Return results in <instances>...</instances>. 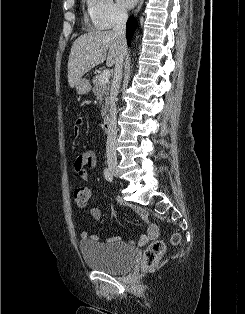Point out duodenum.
I'll return each mask as SVG.
<instances>
[{
	"instance_id": "duodenum-1",
	"label": "duodenum",
	"mask_w": 245,
	"mask_h": 314,
	"mask_svg": "<svg viewBox=\"0 0 245 314\" xmlns=\"http://www.w3.org/2000/svg\"><path fill=\"white\" fill-rule=\"evenodd\" d=\"M102 127L106 132L111 129V117L109 115L105 116L102 121Z\"/></svg>"
}]
</instances>
